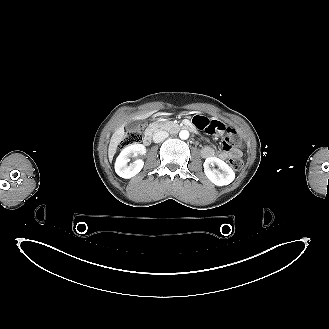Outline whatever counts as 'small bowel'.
<instances>
[{
	"label": "small bowel",
	"mask_w": 329,
	"mask_h": 329,
	"mask_svg": "<svg viewBox=\"0 0 329 329\" xmlns=\"http://www.w3.org/2000/svg\"><path fill=\"white\" fill-rule=\"evenodd\" d=\"M192 126L195 129H199L206 136H217L220 134L223 139L228 138L229 134L232 132L231 127L228 126L226 121L217 118L210 120L203 115H196L192 119ZM202 155L205 158H213L216 156V151L212 146H205L202 149ZM241 155L242 153L238 149L223 148V150L217 154V157L220 160H226L229 157H240Z\"/></svg>",
	"instance_id": "small-bowel-1"
}]
</instances>
